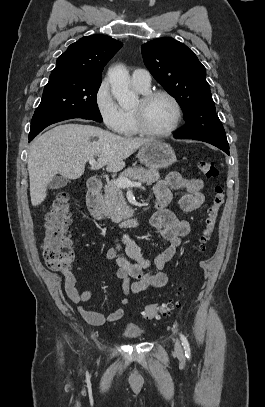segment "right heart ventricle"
<instances>
[{"label": "right heart ventricle", "instance_id": "1", "mask_svg": "<svg viewBox=\"0 0 265 407\" xmlns=\"http://www.w3.org/2000/svg\"><path fill=\"white\" fill-rule=\"evenodd\" d=\"M139 92L145 93L147 90H143L140 88L135 87ZM122 114H123V122L118 130V133L124 137H134L138 133L134 127V121H133V114L132 110L130 109H122Z\"/></svg>", "mask_w": 265, "mask_h": 407}]
</instances>
